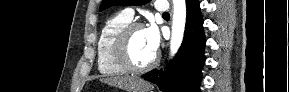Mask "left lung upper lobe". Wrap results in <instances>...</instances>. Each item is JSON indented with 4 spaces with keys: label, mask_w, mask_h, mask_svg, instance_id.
I'll list each match as a JSON object with an SVG mask.
<instances>
[{
    "label": "left lung upper lobe",
    "mask_w": 289,
    "mask_h": 92,
    "mask_svg": "<svg viewBox=\"0 0 289 92\" xmlns=\"http://www.w3.org/2000/svg\"><path fill=\"white\" fill-rule=\"evenodd\" d=\"M150 0H103L99 10L109 8L110 6H126V5H143Z\"/></svg>",
    "instance_id": "5c2ea615"
}]
</instances>
